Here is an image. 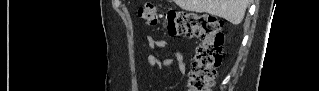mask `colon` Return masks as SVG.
<instances>
[{
  "instance_id": "obj_1",
  "label": "colon",
  "mask_w": 319,
  "mask_h": 91,
  "mask_svg": "<svg viewBox=\"0 0 319 91\" xmlns=\"http://www.w3.org/2000/svg\"><path fill=\"white\" fill-rule=\"evenodd\" d=\"M138 15L146 24L160 26L170 36H198L201 39L195 50L186 87L188 91L212 90L225 40L220 21L206 13L161 10L155 3L142 6Z\"/></svg>"
}]
</instances>
